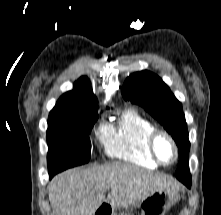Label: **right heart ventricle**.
<instances>
[{"mask_svg":"<svg viewBox=\"0 0 221 215\" xmlns=\"http://www.w3.org/2000/svg\"><path fill=\"white\" fill-rule=\"evenodd\" d=\"M153 123L138 109H124L115 124L103 125L98 138L105 153L113 158L154 168L156 162L148 150V138Z\"/></svg>","mask_w":221,"mask_h":215,"instance_id":"right-heart-ventricle-1","label":"right heart ventricle"}]
</instances>
